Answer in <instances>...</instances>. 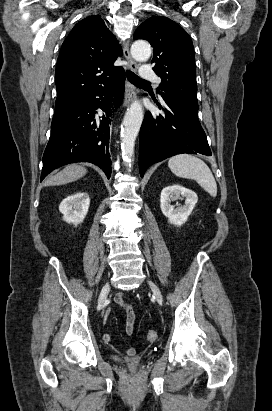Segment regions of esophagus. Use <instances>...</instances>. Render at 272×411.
I'll list each match as a JSON object with an SVG mask.
<instances>
[{
  "mask_svg": "<svg viewBox=\"0 0 272 411\" xmlns=\"http://www.w3.org/2000/svg\"><path fill=\"white\" fill-rule=\"evenodd\" d=\"M123 54L128 62V66L130 70L136 71L138 66H137V63L133 60V58L130 55L129 41L125 42V45L123 48ZM135 97H136V91L134 87L129 82H127L126 88H125V97H124L123 106L124 107L128 106L135 99Z\"/></svg>",
  "mask_w": 272,
  "mask_h": 411,
  "instance_id": "esophagus-1",
  "label": "esophagus"
}]
</instances>
